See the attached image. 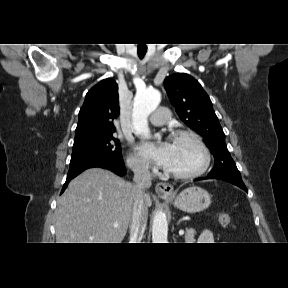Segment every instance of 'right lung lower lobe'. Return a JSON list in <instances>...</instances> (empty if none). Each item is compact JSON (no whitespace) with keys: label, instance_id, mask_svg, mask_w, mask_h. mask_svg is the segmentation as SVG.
I'll return each instance as SVG.
<instances>
[{"label":"right lung lower lobe","instance_id":"right-lung-lower-lobe-1","mask_svg":"<svg viewBox=\"0 0 288 288\" xmlns=\"http://www.w3.org/2000/svg\"><path fill=\"white\" fill-rule=\"evenodd\" d=\"M92 167H101L104 169H109L116 173L117 175H124L126 172L124 162H114L110 159L104 157H94L88 158L75 163H70V168L67 174L66 182L62 188V192L66 189L68 183L82 171L92 168ZM61 192V193H62Z\"/></svg>","mask_w":288,"mask_h":288}]
</instances>
